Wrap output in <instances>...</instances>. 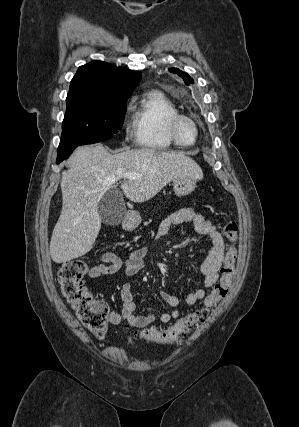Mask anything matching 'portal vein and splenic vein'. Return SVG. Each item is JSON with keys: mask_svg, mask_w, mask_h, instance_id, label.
Listing matches in <instances>:
<instances>
[{"mask_svg": "<svg viewBox=\"0 0 299 427\" xmlns=\"http://www.w3.org/2000/svg\"><path fill=\"white\" fill-rule=\"evenodd\" d=\"M122 176H125L126 178L133 179V180L139 177V176L131 174V173H127L124 175L122 173H119L118 177H112V178H108V179L104 180L103 185L104 186H111L112 184L116 183L120 179V177H122Z\"/></svg>", "mask_w": 299, "mask_h": 427, "instance_id": "portal-vein-and-splenic-vein-1", "label": "portal vein and splenic vein"}]
</instances>
